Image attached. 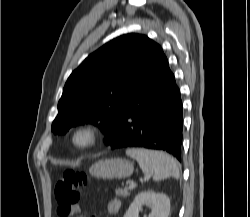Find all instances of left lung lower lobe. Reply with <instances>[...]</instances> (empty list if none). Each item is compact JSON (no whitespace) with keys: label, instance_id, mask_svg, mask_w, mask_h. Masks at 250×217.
Listing matches in <instances>:
<instances>
[{"label":"left lung lower lobe","instance_id":"obj_1","mask_svg":"<svg viewBox=\"0 0 250 217\" xmlns=\"http://www.w3.org/2000/svg\"><path fill=\"white\" fill-rule=\"evenodd\" d=\"M182 101L162 49L133 91L106 141L113 149L164 150L181 161Z\"/></svg>","mask_w":250,"mask_h":217}]
</instances>
